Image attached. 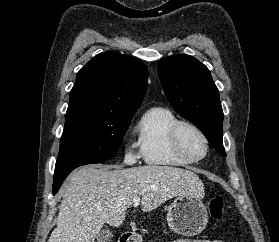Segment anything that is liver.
<instances>
[{
  "mask_svg": "<svg viewBox=\"0 0 279 242\" xmlns=\"http://www.w3.org/2000/svg\"><path fill=\"white\" fill-rule=\"evenodd\" d=\"M61 193L57 227L48 242H94L104 224L123 223L135 197H141L142 210L149 212L173 197L202 198L204 186L194 172L176 167L89 165L72 173Z\"/></svg>",
  "mask_w": 279,
  "mask_h": 242,
  "instance_id": "obj_1",
  "label": "liver"
}]
</instances>
